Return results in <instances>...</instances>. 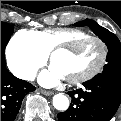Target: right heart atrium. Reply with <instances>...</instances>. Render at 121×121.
Listing matches in <instances>:
<instances>
[{
	"instance_id": "right-heart-atrium-1",
	"label": "right heart atrium",
	"mask_w": 121,
	"mask_h": 121,
	"mask_svg": "<svg viewBox=\"0 0 121 121\" xmlns=\"http://www.w3.org/2000/svg\"><path fill=\"white\" fill-rule=\"evenodd\" d=\"M7 63L10 69L21 78H30L46 61L38 45L30 38L14 35L7 47Z\"/></svg>"
}]
</instances>
